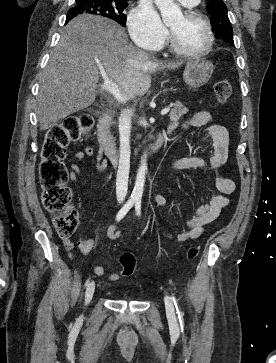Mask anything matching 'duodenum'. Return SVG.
I'll use <instances>...</instances> for the list:
<instances>
[{"label":"duodenum","mask_w":276,"mask_h":363,"mask_svg":"<svg viewBox=\"0 0 276 363\" xmlns=\"http://www.w3.org/2000/svg\"><path fill=\"white\" fill-rule=\"evenodd\" d=\"M112 122V113L108 110L101 111L98 113V123H97V136L106 157L114 164H117L118 151L112 140L110 134V125ZM166 139L165 134H160L156 139L150 144L148 148V155H151L158 151Z\"/></svg>","instance_id":"1"}]
</instances>
